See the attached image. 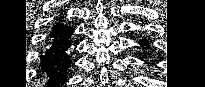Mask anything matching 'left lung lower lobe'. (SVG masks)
<instances>
[{
  "mask_svg": "<svg viewBox=\"0 0 205 87\" xmlns=\"http://www.w3.org/2000/svg\"><path fill=\"white\" fill-rule=\"evenodd\" d=\"M140 44H141V46H142L145 50L150 49L149 42H148L146 39H142V40L140 41ZM146 54H149V53H148V52L144 53V55H146Z\"/></svg>",
  "mask_w": 205,
  "mask_h": 87,
  "instance_id": "0a47b994",
  "label": "left lung lower lobe"
}]
</instances>
